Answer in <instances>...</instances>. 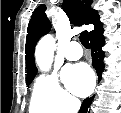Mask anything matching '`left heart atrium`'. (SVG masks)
Returning a JSON list of instances; mask_svg holds the SVG:
<instances>
[{"instance_id":"39dd6f15","label":"left heart atrium","mask_w":121,"mask_h":113,"mask_svg":"<svg viewBox=\"0 0 121 113\" xmlns=\"http://www.w3.org/2000/svg\"><path fill=\"white\" fill-rule=\"evenodd\" d=\"M63 80L67 88L78 96H85L94 86V77L84 64L68 66L63 70Z\"/></svg>"}]
</instances>
